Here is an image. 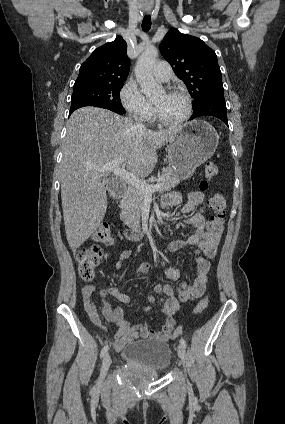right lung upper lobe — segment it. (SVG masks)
<instances>
[{
    "mask_svg": "<svg viewBox=\"0 0 285 424\" xmlns=\"http://www.w3.org/2000/svg\"><path fill=\"white\" fill-rule=\"evenodd\" d=\"M126 50L127 43L121 36L95 49L81 65L74 85L125 82L130 67Z\"/></svg>",
    "mask_w": 285,
    "mask_h": 424,
    "instance_id": "right-lung-upper-lobe-1",
    "label": "right lung upper lobe"
}]
</instances>
